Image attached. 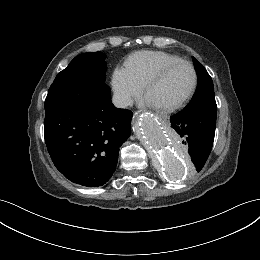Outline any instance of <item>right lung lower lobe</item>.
<instances>
[{"label": "right lung lower lobe", "instance_id": "right-lung-lower-lobe-1", "mask_svg": "<svg viewBox=\"0 0 260 260\" xmlns=\"http://www.w3.org/2000/svg\"><path fill=\"white\" fill-rule=\"evenodd\" d=\"M131 119V111L113 105L105 83L45 101L44 137L54 165L73 183L102 186L116 169Z\"/></svg>", "mask_w": 260, "mask_h": 260}]
</instances>
